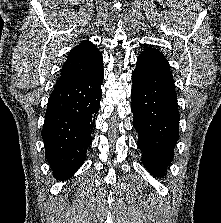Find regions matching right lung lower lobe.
<instances>
[{
    "label": "right lung lower lobe",
    "mask_w": 221,
    "mask_h": 223,
    "mask_svg": "<svg viewBox=\"0 0 221 223\" xmlns=\"http://www.w3.org/2000/svg\"><path fill=\"white\" fill-rule=\"evenodd\" d=\"M103 65L81 80L54 88L42 130L45 157L57 180L70 178L82 165L100 107Z\"/></svg>",
    "instance_id": "1"
}]
</instances>
